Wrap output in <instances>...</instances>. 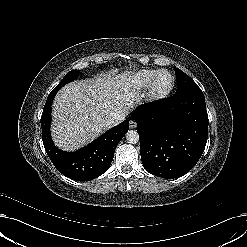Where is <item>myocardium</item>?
I'll return each instance as SVG.
<instances>
[{"instance_id":"1","label":"myocardium","mask_w":247,"mask_h":247,"mask_svg":"<svg viewBox=\"0 0 247 247\" xmlns=\"http://www.w3.org/2000/svg\"><path fill=\"white\" fill-rule=\"evenodd\" d=\"M162 75H166L169 77V82L166 85H160L159 80ZM174 87V77L167 70H159L154 75L150 84L146 90V100L148 101H158L164 99L173 89Z\"/></svg>"}]
</instances>
